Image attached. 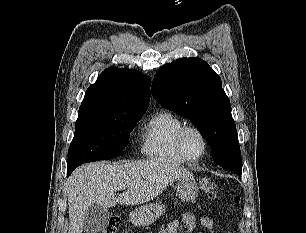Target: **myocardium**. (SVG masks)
<instances>
[{
  "label": "myocardium",
  "instance_id": "myocardium-1",
  "mask_svg": "<svg viewBox=\"0 0 306 233\" xmlns=\"http://www.w3.org/2000/svg\"><path fill=\"white\" fill-rule=\"evenodd\" d=\"M189 131H194L196 132L199 137L202 140L203 143V152L200 156H198L197 158H190L189 156H187L185 149H184V145H183V140L184 137L186 135V133H188ZM176 146H177V150L179 155L181 156V158L189 163H194V162H198L201 159H203L207 152H208V141L207 138L204 134V132L197 126L195 125H185L181 128V130L179 131L178 135H177V139H176Z\"/></svg>",
  "mask_w": 306,
  "mask_h": 233
}]
</instances>
